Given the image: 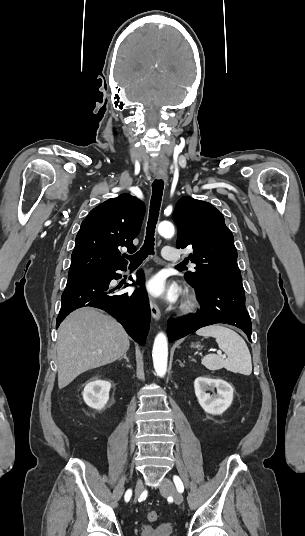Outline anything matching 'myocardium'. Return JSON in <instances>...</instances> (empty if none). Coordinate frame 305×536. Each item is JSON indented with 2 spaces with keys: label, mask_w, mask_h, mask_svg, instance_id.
<instances>
[{
  "label": "myocardium",
  "mask_w": 305,
  "mask_h": 536,
  "mask_svg": "<svg viewBox=\"0 0 305 536\" xmlns=\"http://www.w3.org/2000/svg\"><path fill=\"white\" fill-rule=\"evenodd\" d=\"M198 303H199L198 297L194 294L189 293L185 296L182 309L185 312H189L193 310L195 307H197Z\"/></svg>",
  "instance_id": "myocardium-1"
}]
</instances>
